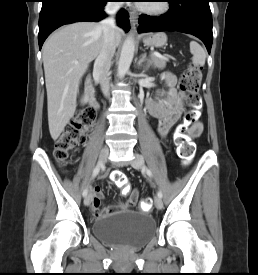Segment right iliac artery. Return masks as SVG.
<instances>
[{
  "mask_svg": "<svg viewBox=\"0 0 258 275\" xmlns=\"http://www.w3.org/2000/svg\"><path fill=\"white\" fill-rule=\"evenodd\" d=\"M102 167H103V163H102V162H99V163L97 164V166H96V167L94 168V170H93L92 178L96 177V176L99 174V172H100V170H101ZM87 193H88V190H87V188H86V189H84V191H83V193H82L83 197H86V196H87Z\"/></svg>",
  "mask_w": 258,
  "mask_h": 275,
  "instance_id": "right-iliac-artery-1",
  "label": "right iliac artery"
}]
</instances>
